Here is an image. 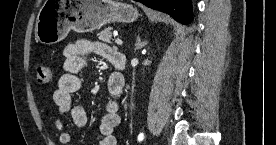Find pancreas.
<instances>
[{
	"mask_svg": "<svg viewBox=\"0 0 276 145\" xmlns=\"http://www.w3.org/2000/svg\"><path fill=\"white\" fill-rule=\"evenodd\" d=\"M99 40L111 44L112 27H107L98 33Z\"/></svg>",
	"mask_w": 276,
	"mask_h": 145,
	"instance_id": "pancreas-1",
	"label": "pancreas"
}]
</instances>
